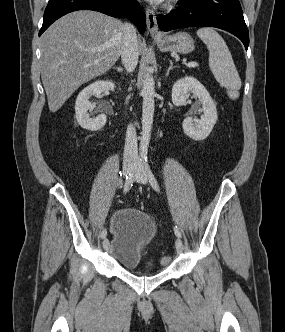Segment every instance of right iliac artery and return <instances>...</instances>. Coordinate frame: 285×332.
I'll use <instances>...</instances> for the list:
<instances>
[{
	"label": "right iliac artery",
	"mask_w": 285,
	"mask_h": 332,
	"mask_svg": "<svg viewBox=\"0 0 285 332\" xmlns=\"http://www.w3.org/2000/svg\"><path fill=\"white\" fill-rule=\"evenodd\" d=\"M133 181H134V172H131L128 175H126V179L124 182V193H126L131 188ZM106 235H107V230L104 229L101 232L100 237L105 238Z\"/></svg>",
	"instance_id": "82829eb1"
}]
</instances>
